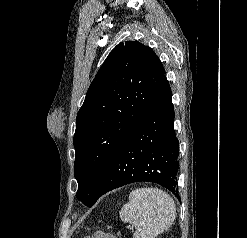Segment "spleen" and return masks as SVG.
<instances>
[{
    "label": "spleen",
    "mask_w": 247,
    "mask_h": 238,
    "mask_svg": "<svg viewBox=\"0 0 247 238\" xmlns=\"http://www.w3.org/2000/svg\"><path fill=\"white\" fill-rule=\"evenodd\" d=\"M176 205L165 191L145 187L133 190L120 218L135 227L134 238H155L174 222Z\"/></svg>",
    "instance_id": "spleen-1"
}]
</instances>
